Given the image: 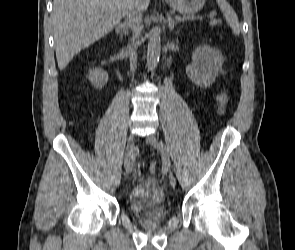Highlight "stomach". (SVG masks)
<instances>
[{"mask_svg": "<svg viewBox=\"0 0 295 250\" xmlns=\"http://www.w3.org/2000/svg\"><path fill=\"white\" fill-rule=\"evenodd\" d=\"M170 7L183 14H194L200 11L205 0H166Z\"/></svg>", "mask_w": 295, "mask_h": 250, "instance_id": "1", "label": "stomach"}]
</instances>
